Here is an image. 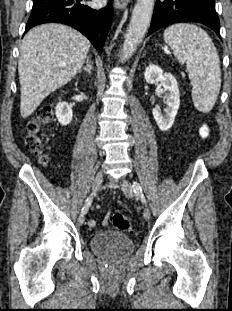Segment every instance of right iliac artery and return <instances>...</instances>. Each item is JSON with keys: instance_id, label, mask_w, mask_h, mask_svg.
<instances>
[{"instance_id": "right-iliac-artery-1", "label": "right iliac artery", "mask_w": 232, "mask_h": 311, "mask_svg": "<svg viewBox=\"0 0 232 311\" xmlns=\"http://www.w3.org/2000/svg\"><path fill=\"white\" fill-rule=\"evenodd\" d=\"M92 201H93V194H91V195L86 199L85 205H84L83 208H82V213H83V214H85V213L88 211V209H89V207H90Z\"/></svg>"}]
</instances>
